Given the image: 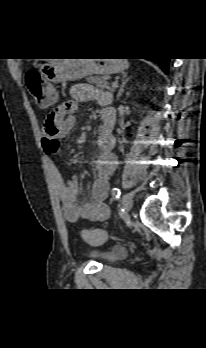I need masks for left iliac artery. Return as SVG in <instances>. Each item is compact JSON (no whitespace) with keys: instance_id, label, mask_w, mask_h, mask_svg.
Returning a JSON list of instances; mask_svg holds the SVG:
<instances>
[{"instance_id":"1","label":"left iliac artery","mask_w":206,"mask_h":348,"mask_svg":"<svg viewBox=\"0 0 206 348\" xmlns=\"http://www.w3.org/2000/svg\"><path fill=\"white\" fill-rule=\"evenodd\" d=\"M114 195H121V191L119 188L112 189V196H114Z\"/></svg>"}]
</instances>
